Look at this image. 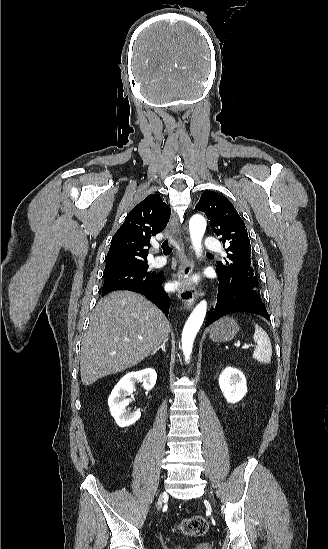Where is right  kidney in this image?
Listing matches in <instances>:
<instances>
[{
  "label": "right kidney",
  "mask_w": 328,
  "mask_h": 549,
  "mask_svg": "<svg viewBox=\"0 0 328 549\" xmlns=\"http://www.w3.org/2000/svg\"><path fill=\"white\" fill-rule=\"evenodd\" d=\"M157 379V373L154 369H143V371H134V373H127L119 383L115 385L109 399L108 405L110 407V413L114 417L119 427H129L133 425L135 421L140 419V411H135L132 415H129L125 411L127 405H129L131 399H125L127 395L133 393L134 383L136 381H143V387L146 391L153 389Z\"/></svg>",
  "instance_id": "ca27d5eb"
}]
</instances>
